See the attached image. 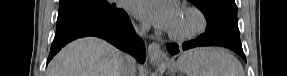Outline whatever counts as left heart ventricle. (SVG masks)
<instances>
[{"mask_svg": "<svg viewBox=\"0 0 287 76\" xmlns=\"http://www.w3.org/2000/svg\"><path fill=\"white\" fill-rule=\"evenodd\" d=\"M195 17L189 13L179 12L176 22L170 29L175 32H184L191 29L195 25Z\"/></svg>", "mask_w": 287, "mask_h": 76, "instance_id": "left-heart-ventricle-1", "label": "left heart ventricle"}]
</instances>
